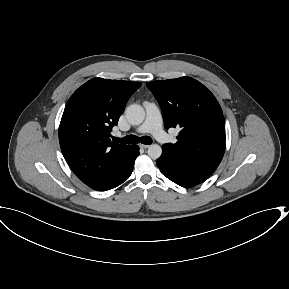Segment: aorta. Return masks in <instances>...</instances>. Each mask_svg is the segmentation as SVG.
I'll list each match as a JSON object with an SVG mask.
<instances>
[{"label":"aorta","mask_w":289,"mask_h":289,"mask_svg":"<svg viewBox=\"0 0 289 289\" xmlns=\"http://www.w3.org/2000/svg\"><path fill=\"white\" fill-rule=\"evenodd\" d=\"M126 118L132 125H139L145 119V111L141 105L132 104L129 105L125 110ZM148 156L156 160L162 154V148L158 144H152L148 148Z\"/></svg>","instance_id":"762f6f07"}]
</instances>
